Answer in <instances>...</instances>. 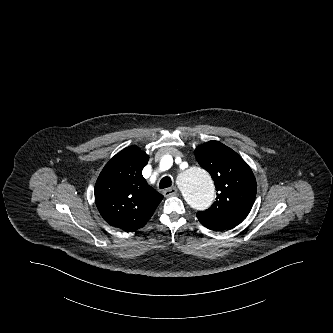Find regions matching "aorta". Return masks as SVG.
Masks as SVG:
<instances>
[{"label": "aorta", "mask_w": 333, "mask_h": 333, "mask_svg": "<svg viewBox=\"0 0 333 333\" xmlns=\"http://www.w3.org/2000/svg\"><path fill=\"white\" fill-rule=\"evenodd\" d=\"M179 178V189L189 206L196 210H204L212 204L215 188L205 169L189 165L181 171Z\"/></svg>", "instance_id": "aorta-1"}]
</instances>
